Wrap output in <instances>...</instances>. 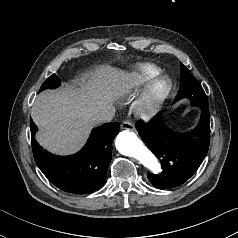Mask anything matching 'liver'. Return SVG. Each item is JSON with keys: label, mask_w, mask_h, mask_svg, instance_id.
Masks as SVG:
<instances>
[{"label": "liver", "mask_w": 238, "mask_h": 238, "mask_svg": "<svg viewBox=\"0 0 238 238\" xmlns=\"http://www.w3.org/2000/svg\"><path fill=\"white\" fill-rule=\"evenodd\" d=\"M133 75L109 65L98 67L82 79L79 87L40 93L31 108L39 128L36 138L46 150L59 155L79 151L97 124L95 116L131 89Z\"/></svg>", "instance_id": "1"}]
</instances>
